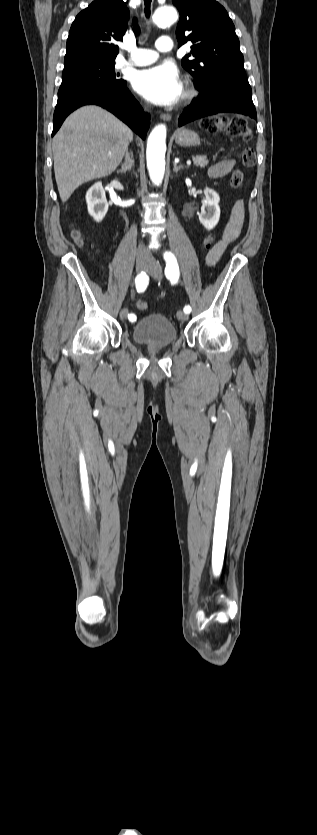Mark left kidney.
Instances as JSON below:
<instances>
[{
	"instance_id": "5707ae66",
	"label": "left kidney",
	"mask_w": 317,
	"mask_h": 835,
	"mask_svg": "<svg viewBox=\"0 0 317 835\" xmlns=\"http://www.w3.org/2000/svg\"><path fill=\"white\" fill-rule=\"evenodd\" d=\"M205 198L202 201L201 211L198 214L200 223L208 230L213 229L220 218V197L217 192L210 188L204 189Z\"/></svg>"
}]
</instances>
